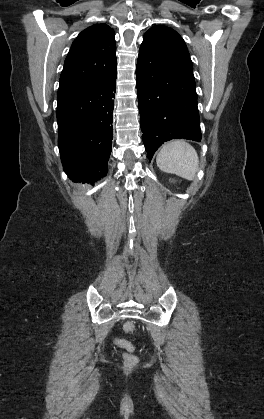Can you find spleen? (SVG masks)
I'll use <instances>...</instances> for the list:
<instances>
[{
    "mask_svg": "<svg viewBox=\"0 0 264 419\" xmlns=\"http://www.w3.org/2000/svg\"><path fill=\"white\" fill-rule=\"evenodd\" d=\"M157 166L166 173L176 174L193 180L199 169L196 150L184 140H173L164 144L156 158Z\"/></svg>",
    "mask_w": 264,
    "mask_h": 419,
    "instance_id": "spleen-1",
    "label": "spleen"
}]
</instances>
